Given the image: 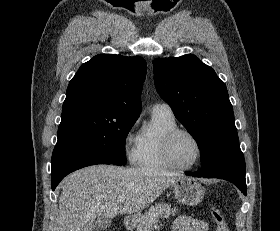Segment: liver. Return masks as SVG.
<instances>
[{
  "label": "liver",
  "mask_w": 280,
  "mask_h": 231,
  "mask_svg": "<svg viewBox=\"0 0 280 231\" xmlns=\"http://www.w3.org/2000/svg\"><path fill=\"white\" fill-rule=\"evenodd\" d=\"M179 173H155L143 167L90 165L64 177L60 185L57 225L54 231H91L98 215H141ZM125 199V201H118Z\"/></svg>",
  "instance_id": "6515ba94"
}]
</instances>
